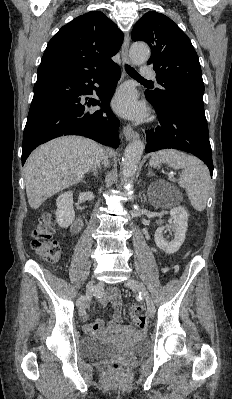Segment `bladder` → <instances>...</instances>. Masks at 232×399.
<instances>
[{"label":"bladder","mask_w":232,"mask_h":399,"mask_svg":"<svg viewBox=\"0 0 232 399\" xmlns=\"http://www.w3.org/2000/svg\"><path fill=\"white\" fill-rule=\"evenodd\" d=\"M147 351V343L141 341L132 346H121L94 337H84L79 343V353L88 359L110 356H138Z\"/></svg>","instance_id":"31cf9c89"}]
</instances>
